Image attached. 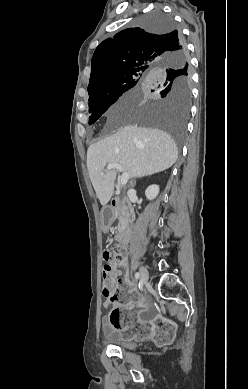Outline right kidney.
I'll use <instances>...</instances> for the list:
<instances>
[{
	"mask_svg": "<svg viewBox=\"0 0 248 389\" xmlns=\"http://www.w3.org/2000/svg\"><path fill=\"white\" fill-rule=\"evenodd\" d=\"M158 193H159V186L150 185L145 191V196L148 200H153L154 198H156Z\"/></svg>",
	"mask_w": 248,
	"mask_h": 389,
	"instance_id": "ca27d5eb",
	"label": "right kidney"
}]
</instances>
